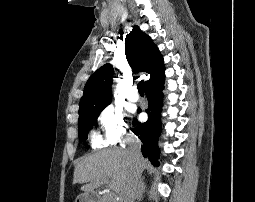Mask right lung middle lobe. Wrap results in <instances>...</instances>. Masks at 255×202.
<instances>
[{
    "instance_id": "right-lung-middle-lobe-1",
    "label": "right lung middle lobe",
    "mask_w": 255,
    "mask_h": 202,
    "mask_svg": "<svg viewBox=\"0 0 255 202\" xmlns=\"http://www.w3.org/2000/svg\"><path fill=\"white\" fill-rule=\"evenodd\" d=\"M103 109L104 108L92 109L79 113L78 128L82 141H85L87 139L89 129L92 128L95 120Z\"/></svg>"
}]
</instances>
